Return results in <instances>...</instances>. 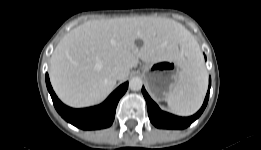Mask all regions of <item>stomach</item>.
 I'll return each instance as SVG.
<instances>
[{
	"label": "stomach",
	"mask_w": 261,
	"mask_h": 150,
	"mask_svg": "<svg viewBox=\"0 0 261 150\" xmlns=\"http://www.w3.org/2000/svg\"><path fill=\"white\" fill-rule=\"evenodd\" d=\"M182 69L176 60L145 63L142 73L151 95L158 101L166 100L177 85Z\"/></svg>",
	"instance_id": "stomach-1"
}]
</instances>
